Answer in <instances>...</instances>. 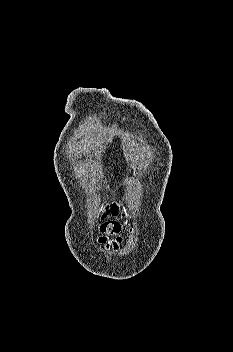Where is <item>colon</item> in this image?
<instances>
[{
  "label": "colon",
  "mask_w": 233,
  "mask_h": 352,
  "mask_svg": "<svg viewBox=\"0 0 233 352\" xmlns=\"http://www.w3.org/2000/svg\"><path fill=\"white\" fill-rule=\"evenodd\" d=\"M101 231L109 236L116 235L121 231V225L116 221H106L101 225Z\"/></svg>",
  "instance_id": "5ec220e1"
}]
</instances>
